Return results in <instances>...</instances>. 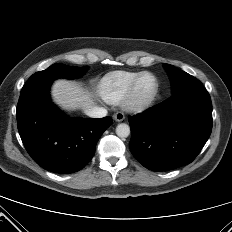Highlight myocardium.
<instances>
[{
  "label": "myocardium",
  "mask_w": 232,
  "mask_h": 232,
  "mask_svg": "<svg viewBox=\"0 0 232 232\" xmlns=\"http://www.w3.org/2000/svg\"><path fill=\"white\" fill-rule=\"evenodd\" d=\"M145 76L151 77V79L153 80V88L147 96L139 97L137 94V89L140 81ZM158 91H159V83L157 78L152 73L142 72L134 80L128 93L126 94V97L122 102L123 107L128 111H133V112L142 111L147 107H149L154 102V100L158 95Z\"/></svg>",
  "instance_id": "obj_1"
}]
</instances>
